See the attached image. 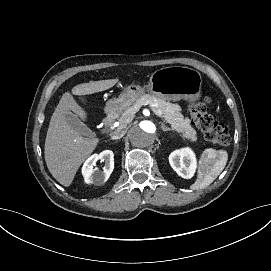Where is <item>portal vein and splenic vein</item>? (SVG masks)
Masks as SVG:
<instances>
[{"mask_svg": "<svg viewBox=\"0 0 271 271\" xmlns=\"http://www.w3.org/2000/svg\"><path fill=\"white\" fill-rule=\"evenodd\" d=\"M154 112H156L157 110L154 109ZM162 120L164 119V117L161 115V112L158 110V112L156 113Z\"/></svg>", "mask_w": 271, "mask_h": 271, "instance_id": "18ae733b", "label": "portal vein and splenic vein"}]
</instances>
